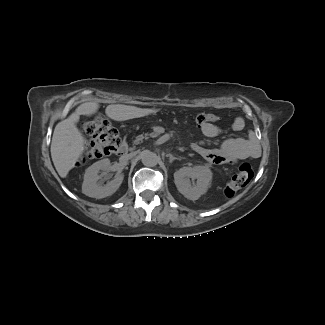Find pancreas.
Returning a JSON list of instances; mask_svg holds the SVG:
<instances>
[{
	"label": "pancreas",
	"instance_id": "1",
	"mask_svg": "<svg viewBox=\"0 0 325 325\" xmlns=\"http://www.w3.org/2000/svg\"><path fill=\"white\" fill-rule=\"evenodd\" d=\"M149 130L147 129V130H143L142 132V134L140 135V136H138V138L136 139H134L133 140V143L134 144H136V145H139L141 142H143L144 141V137L145 138H151V137H155V135L152 133H146V132H148ZM143 135H144V137H143ZM130 150H132V148L130 149Z\"/></svg>",
	"mask_w": 325,
	"mask_h": 325
}]
</instances>
